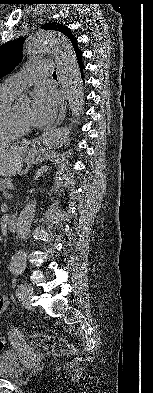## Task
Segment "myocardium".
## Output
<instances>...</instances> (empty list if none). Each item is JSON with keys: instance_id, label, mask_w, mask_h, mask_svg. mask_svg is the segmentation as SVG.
I'll list each match as a JSON object with an SVG mask.
<instances>
[{"instance_id": "obj_1", "label": "myocardium", "mask_w": 153, "mask_h": 393, "mask_svg": "<svg viewBox=\"0 0 153 393\" xmlns=\"http://www.w3.org/2000/svg\"><path fill=\"white\" fill-rule=\"evenodd\" d=\"M11 121L13 127L17 131L19 135H25L31 131V127L29 125L23 124L15 113V108H11Z\"/></svg>"}]
</instances>
